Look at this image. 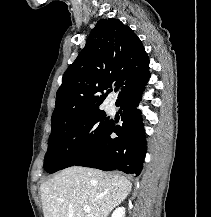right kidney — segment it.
<instances>
[{
  "label": "right kidney",
  "mask_w": 211,
  "mask_h": 217,
  "mask_svg": "<svg viewBox=\"0 0 211 217\" xmlns=\"http://www.w3.org/2000/svg\"><path fill=\"white\" fill-rule=\"evenodd\" d=\"M124 215H125V208L119 207L112 213L111 217H124Z\"/></svg>",
  "instance_id": "ca27d5eb"
}]
</instances>
